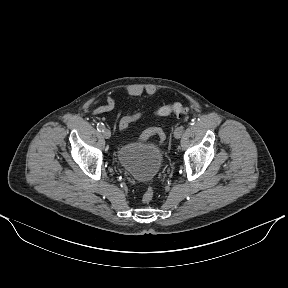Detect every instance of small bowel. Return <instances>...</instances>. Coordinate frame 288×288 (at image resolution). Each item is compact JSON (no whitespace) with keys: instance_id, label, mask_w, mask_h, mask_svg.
Returning a JSON list of instances; mask_svg holds the SVG:
<instances>
[{"instance_id":"obj_1","label":"small bowel","mask_w":288,"mask_h":288,"mask_svg":"<svg viewBox=\"0 0 288 288\" xmlns=\"http://www.w3.org/2000/svg\"><path fill=\"white\" fill-rule=\"evenodd\" d=\"M116 108V102L113 96L109 95L106 99V102L102 105H97V100H95L93 102V110L95 113L97 114H101V113H107V112H111ZM121 121V120H120ZM119 128L121 130H125L124 128H122L120 126L119 123Z\"/></svg>"}]
</instances>
